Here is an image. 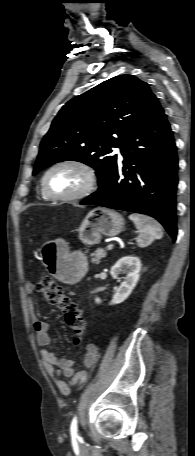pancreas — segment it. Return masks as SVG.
Here are the masks:
<instances>
[{
  "instance_id": "cf45deb5",
  "label": "pancreas",
  "mask_w": 195,
  "mask_h": 456,
  "mask_svg": "<svg viewBox=\"0 0 195 456\" xmlns=\"http://www.w3.org/2000/svg\"><path fill=\"white\" fill-rule=\"evenodd\" d=\"M106 251L102 248H98L94 253L91 254V262L94 264H99L100 260L106 256Z\"/></svg>"
}]
</instances>
